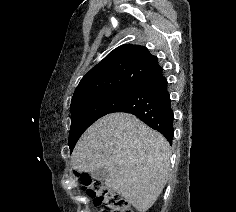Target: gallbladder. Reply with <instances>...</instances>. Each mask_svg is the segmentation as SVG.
<instances>
[{
	"label": "gallbladder",
	"instance_id": "obj_1",
	"mask_svg": "<svg viewBox=\"0 0 236 212\" xmlns=\"http://www.w3.org/2000/svg\"><path fill=\"white\" fill-rule=\"evenodd\" d=\"M90 175L93 179L105 181L109 176V172L105 168H100L91 172Z\"/></svg>",
	"mask_w": 236,
	"mask_h": 212
}]
</instances>
